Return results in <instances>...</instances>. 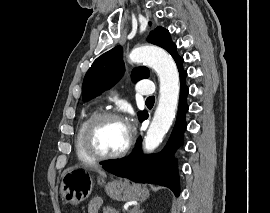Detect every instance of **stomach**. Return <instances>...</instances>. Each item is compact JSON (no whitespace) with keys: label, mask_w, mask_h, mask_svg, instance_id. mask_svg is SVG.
I'll use <instances>...</instances> for the list:
<instances>
[{"label":"stomach","mask_w":270,"mask_h":213,"mask_svg":"<svg viewBox=\"0 0 270 213\" xmlns=\"http://www.w3.org/2000/svg\"><path fill=\"white\" fill-rule=\"evenodd\" d=\"M94 174L90 168H69L62 174L60 192L67 204L78 206L90 195L94 185ZM106 193L113 199L121 201L146 200L149 191L145 187L133 184L128 180L115 179L103 182Z\"/></svg>","instance_id":"obj_1"}]
</instances>
